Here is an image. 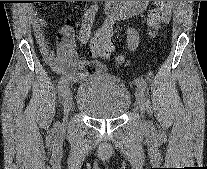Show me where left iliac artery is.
Segmentation results:
<instances>
[{
    "label": "left iliac artery",
    "instance_id": "left-iliac-artery-1",
    "mask_svg": "<svg viewBox=\"0 0 207 169\" xmlns=\"http://www.w3.org/2000/svg\"><path fill=\"white\" fill-rule=\"evenodd\" d=\"M130 34H125V39H127V43H128V49L133 53L134 51H137V44L139 43V39H140V34H137V30H130L129 32ZM135 84L138 88L142 89V90H146L147 88V83L146 80L144 78H137L135 80Z\"/></svg>",
    "mask_w": 207,
    "mask_h": 169
}]
</instances>
